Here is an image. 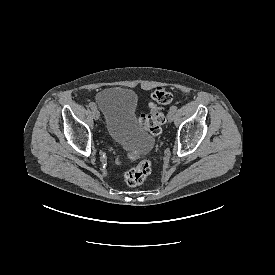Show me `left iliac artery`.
Wrapping results in <instances>:
<instances>
[{
  "label": "left iliac artery",
  "instance_id": "1",
  "mask_svg": "<svg viewBox=\"0 0 275 275\" xmlns=\"http://www.w3.org/2000/svg\"><path fill=\"white\" fill-rule=\"evenodd\" d=\"M177 110V106H171L170 111L175 112Z\"/></svg>",
  "mask_w": 275,
  "mask_h": 275
}]
</instances>
